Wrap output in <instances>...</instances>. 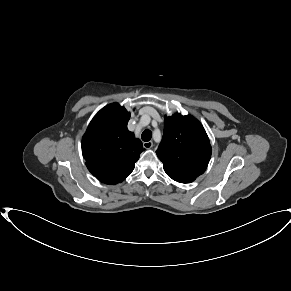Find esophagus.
Here are the masks:
<instances>
[{"label": "esophagus", "instance_id": "esophagus-1", "mask_svg": "<svg viewBox=\"0 0 291 291\" xmlns=\"http://www.w3.org/2000/svg\"><path fill=\"white\" fill-rule=\"evenodd\" d=\"M144 148L146 149H150L153 146V142L152 141H148V142H144L143 143Z\"/></svg>", "mask_w": 291, "mask_h": 291}]
</instances>
